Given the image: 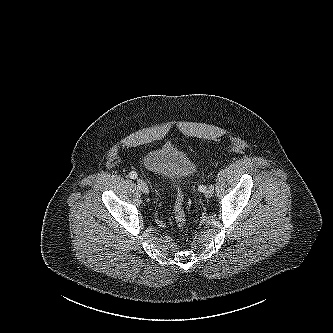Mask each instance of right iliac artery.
<instances>
[{
  "instance_id": "right-iliac-artery-1",
  "label": "right iliac artery",
  "mask_w": 333,
  "mask_h": 333,
  "mask_svg": "<svg viewBox=\"0 0 333 333\" xmlns=\"http://www.w3.org/2000/svg\"><path fill=\"white\" fill-rule=\"evenodd\" d=\"M129 177H130L131 179H136V178H137V173L134 172V171H132V172L129 173Z\"/></svg>"
}]
</instances>
